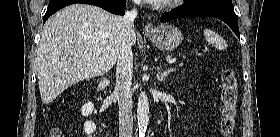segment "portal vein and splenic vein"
Returning a JSON list of instances; mask_svg holds the SVG:
<instances>
[{"label":"portal vein and splenic vein","instance_id":"obj_1","mask_svg":"<svg viewBox=\"0 0 280 137\" xmlns=\"http://www.w3.org/2000/svg\"><path fill=\"white\" fill-rule=\"evenodd\" d=\"M176 61V59L174 58V59H170V60H168V63H173V62H175Z\"/></svg>","mask_w":280,"mask_h":137}]
</instances>
